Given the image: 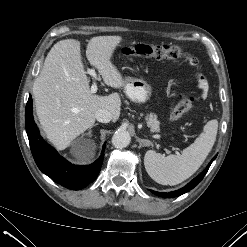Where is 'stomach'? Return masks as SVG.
Here are the masks:
<instances>
[{"mask_svg": "<svg viewBox=\"0 0 247 247\" xmlns=\"http://www.w3.org/2000/svg\"><path fill=\"white\" fill-rule=\"evenodd\" d=\"M124 81V92L133 102L145 103L151 97L152 86L145 80L126 77Z\"/></svg>", "mask_w": 247, "mask_h": 247, "instance_id": "stomach-1", "label": "stomach"}]
</instances>
